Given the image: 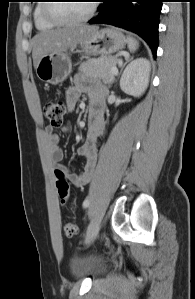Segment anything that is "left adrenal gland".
Returning a JSON list of instances; mask_svg holds the SVG:
<instances>
[{
    "mask_svg": "<svg viewBox=\"0 0 195 299\" xmlns=\"http://www.w3.org/2000/svg\"><path fill=\"white\" fill-rule=\"evenodd\" d=\"M130 60H131V59L127 60V61L123 64L120 73L122 72V69L124 68V66H125Z\"/></svg>",
    "mask_w": 195,
    "mask_h": 299,
    "instance_id": "left-adrenal-gland-1",
    "label": "left adrenal gland"
}]
</instances>
